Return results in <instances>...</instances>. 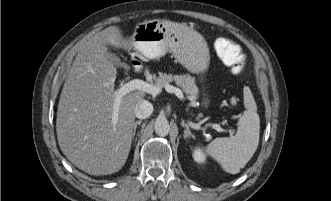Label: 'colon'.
I'll use <instances>...</instances> for the list:
<instances>
[{"label":"colon","mask_w":331,"mask_h":201,"mask_svg":"<svg viewBox=\"0 0 331 201\" xmlns=\"http://www.w3.org/2000/svg\"><path fill=\"white\" fill-rule=\"evenodd\" d=\"M216 51L233 74H239L245 66V56L241 48L228 38H220L216 43Z\"/></svg>","instance_id":"5ec220e1"}]
</instances>
